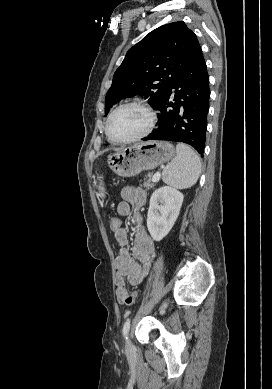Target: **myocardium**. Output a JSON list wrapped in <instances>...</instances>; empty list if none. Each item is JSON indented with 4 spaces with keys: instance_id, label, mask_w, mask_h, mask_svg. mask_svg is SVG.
Segmentation results:
<instances>
[{
    "instance_id": "f54148a6",
    "label": "myocardium",
    "mask_w": 272,
    "mask_h": 389,
    "mask_svg": "<svg viewBox=\"0 0 272 389\" xmlns=\"http://www.w3.org/2000/svg\"><path fill=\"white\" fill-rule=\"evenodd\" d=\"M129 106L138 107L145 112V114L147 115V118H148L147 125L140 133H138L130 138L122 139V140L114 139L111 136L110 130H109L111 119L113 118L115 113L118 112L120 109L125 108V107H129ZM155 122H156V114L147 103L140 101V100H130V101H127V102H124V103L118 105L116 108H114L111 111V113L109 114V116L106 120L105 134H106L107 138L109 139V141L114 143V144H127V143H131V142L140 140V139L144 138L145 136H147L154 128Z\"/></svg>"
}]
</instances>
